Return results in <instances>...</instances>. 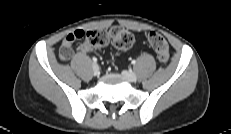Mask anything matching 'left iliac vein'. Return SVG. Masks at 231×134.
Instances as JSON below:
<instances>
[{
  "instance_id": "1",
  "label": "left iliac vein",
  "mask_w": 231,
  "mask_h": 134,
  "mask_svg": "<svg viewBox=\"0 0 231 134\" xmlns=\"http://www.w3.org/2000/svg\"><path fill=\"white\" fill-rule=\"evenodd\" d=\"M122 75H123V77H124L127 81H129V82H134V81H136V79H137L136 74H135L134 72H132V71L124 70V71L122 72Z\"/></svg>"
}]
</instances>
